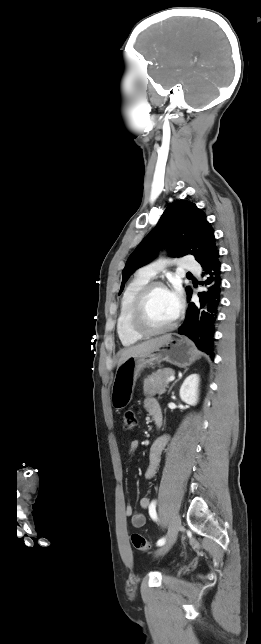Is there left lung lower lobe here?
Wrapping results in <instances>:
<instances>
[{
  "label": "left lung lower lobe",
  "mask_w": 261,
  "mask_h": 644,
  "mask_svg": "<svg viewBox=\"0 0 261 644\" xmlns=\"http://www.w3.org/2000/svg\"><path fill=\"white\" fill-rule=\"evenodd\" d=\"M219 251L214 253L203 265L207 290L199 292V303L190 302L184 323L179 327V334L189 337L201 351L214 357L215 324L220 305L221 278ZM187 295L188 302L191 299Z\"/></svg>",
  "instance_id": "0a47b994"
}]
</instances>
